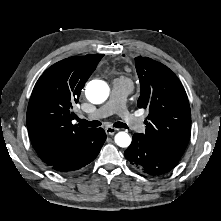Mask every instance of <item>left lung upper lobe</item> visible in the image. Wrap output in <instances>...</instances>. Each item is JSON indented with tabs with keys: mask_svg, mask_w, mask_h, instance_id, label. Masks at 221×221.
<instances>
[{
	"mask_svg": "<svg viewBox=\"0 0 221 221\" xmlns=\"http://www.w3.org/2000/svg\"><path fill=\"white\" fill-rule=\"evenodd\" d=\"M140 81L139 108L149 115L145 134L147 141L180 159L191 133L189 101L178 77L165 65L147 57L135 58Z\"/></svg>",
	"mask_w": 221,
	"mask_h": 221,
	"instance_id": "5c2ea615",
	"label": "left lung upper lobe"
}]
</instances>
